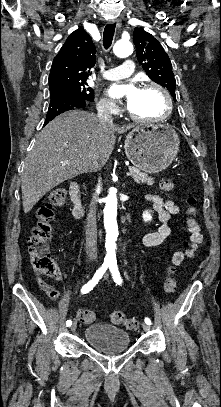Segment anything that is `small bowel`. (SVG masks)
I'll return each mask as SVG.
<instances>
[{
    "label": "small bowel",
    "mask_w": 221,
    "mask_h": 407,
    "mask_svg": "<svg viewBox=\"0 0 221 407\" xmlns=\"http://www.w3.org/2000/svg\"><path fill=\"white\" fill-rule=\"evenodd\" d=\"M147 200L152 204L161 225L156 231L149 233L144 237V245L147 247H155L171 236V229L168 226V222L173 216L178 215L179 208L173 200H163L160 196L155 194L147 196ZM186 222L189 225L191 232L190 238L192 241V249L190 251L178 250L174 256V262L177 258L184 259L186 256L191 255L203 240V235L200 232L195 219L187 218ZM55 278L57 280H63L65 275L57 268ZM38 283L48 297L54 300L59 297V292L42 278H38Z\"/></svg>",
    "instance_id": "small-bowel-1"
}]
</instances>
